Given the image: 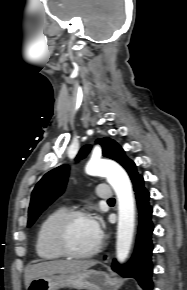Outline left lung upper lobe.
<instances>
[{"instance_id":"1","label":"left lung upper lobe","mask_w":187,"mask_h":290,"mask_svg":"<svg viewBox=\"0 0 187 290\" xmlns=\"http://www.w3.org/2000/svg\"><path fill=\"white\" fill-rule=\"evenodd\" d=\"M96 143L102 146L103 155L120 163L128 172L132 182L139 176L135 163L127 158L123 149L112 139H98ZM90 151V146H84L76 159H83ZM68 177V167L62 165L47 174L35 186L28 210V227H30L38 216L49 206L58 196H60L66 186Z\"/></svg>"}]
</instances>
